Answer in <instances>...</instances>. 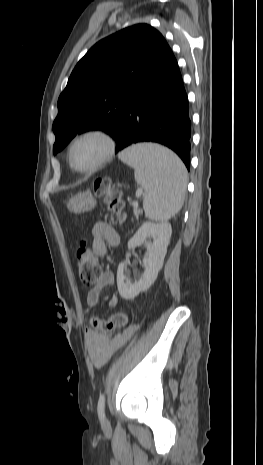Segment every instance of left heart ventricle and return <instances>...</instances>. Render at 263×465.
Wrapping results in <instances>:
<instances>
[{"label": "left heart ventricle", "instance_id": "1", "mask_svg": "<svg viewBox=\"0 0 263 465\" xmlns=\"http://www.w3.org/2000/svg\"><path fill=\"white\" fill-rule=\"evenodd\" d=\"M105 142L95 136L78 141L72 149V161L75 167L86 169L93 166L104 154Z\"/></svg>", "mask_w": 263, "mask_h": 465}]
</instances>
